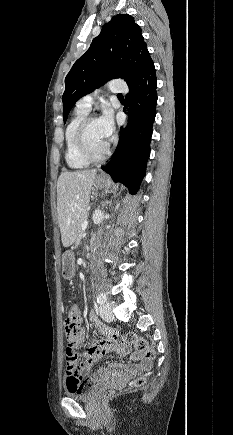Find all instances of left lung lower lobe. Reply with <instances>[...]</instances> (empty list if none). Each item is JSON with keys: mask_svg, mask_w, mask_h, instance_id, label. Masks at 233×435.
Returning <instances> with one entry per match:
<instances>
[{"mask_svg": "<svg viewBox=\"0 0 233 435\" xmlns=\"http://www.w3.org/2000/svg\"><path fill=\"white\" fill-rule=\"evenodd\" d=\"M129 122L120 129L121 140L112 159L102 167L115 182L136 194L146 172L150 155L152 126L156 116L157 79L152 63L129 85Z\"/></svg>", "mask_w": 233, "mask_h": 435, "instance_id": "left-lung-lower-lobe-1", "label": "left lung lower lobe"}]
</instances>
